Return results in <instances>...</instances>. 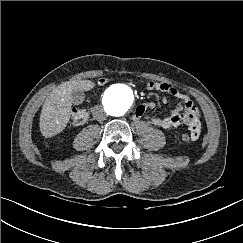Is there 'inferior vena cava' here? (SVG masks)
<instances>
[{
  "instance_id": "602c4592",
  "label": "inferior vena cava",
  "mask_w": 243,
  "mask_h": 243,
  "mask_svg": "<svg viewBox=\"0 0 243 243\" xmlns=\"http://www.w3.org/2000/svg\"><path fill=\"white\" fill-rule=\"evenodd\" d=\"M93 117L98 120V121H103L106 119V113L104 112V110L101 107H96L93 110Z\"/></svg>"
}]
</instances>
